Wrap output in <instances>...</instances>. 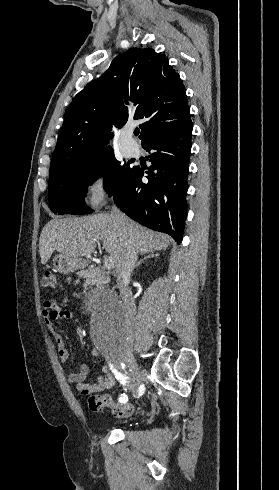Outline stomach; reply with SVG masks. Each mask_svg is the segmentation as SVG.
<instances>
[{
	"instance_id": "stomach-1",
	"label": "stomach",
	"mask_w": 279,
	"mask_h": 490,
	"mask_svg": "<svg viewBox=\"0 0 279 490\" xmlns=\"http://www.w3.org/2000/svg\"><path fill=\"white\" fill-rule=\"evenodd\" d=\"M52 266L60 274H73V272L82 268L83 262L82 258H69V256H64V254H57L52 260Z\"/></svg>"
}]
</instances>
